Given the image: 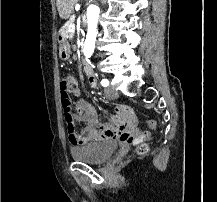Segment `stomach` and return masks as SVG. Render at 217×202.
<instances>
[{
    "instance_id": "obj_1",
    "label": "stomach",
    "mask_w": 217,
    "mask_h": 202,
    "mask_svg": "<svg viewBox=\"0 0 217 202\" xmlns=\"http://www.w3.org/2000/svg\"><path fill=\"white\" fill-rule=\"evenodd\" d=\"M71 50H70V44L66 38L60 42V48H59V58L60 60H68L70 58Z\"/></svg>"
}]
</instances>
